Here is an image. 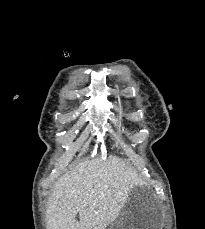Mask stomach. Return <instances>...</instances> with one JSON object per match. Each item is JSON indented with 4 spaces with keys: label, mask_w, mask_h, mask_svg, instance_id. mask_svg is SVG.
<instances>
[{
    "label": "stomach",
    "mask_w": 205,
    "mask_h": 229,
    "mask_svg": "<svg viewBox=\"0 0 205 229\" xmlns=\"http://www.w3.org/2000/svg\"><path fill=\"white\" fill-rule=\"evenodd\" d=\"M163 211L159 202L144 195L132 196L117 218L106 229H163Z\"/></svg>",
    "instance_id": "1"
}]
</instances>
